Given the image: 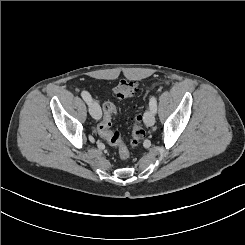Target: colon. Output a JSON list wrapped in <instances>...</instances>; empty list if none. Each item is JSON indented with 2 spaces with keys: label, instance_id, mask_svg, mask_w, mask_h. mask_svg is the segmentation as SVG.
<instances>
[{
  "label": "colon",
  "instance_id": "obj_1",
  "mask_svg": "<svg viewBox=\"0 0 245 245\" xmlns=\"http://www.w3.org/2000/svg\"><path fill=\"white\" fill-rule=\"evenodd\" d=\"M137 92V86L134 82L121 80L114 88V95L118 99H130ZM103 117L98 124V132L109 144L118 149V154L121 160H126L129 157V149L123 141L119 131H112V118L117 114L116 106L112 102H105L102 105ZM145 131L142 126V117L136 114L133 118L131 127V139L129 145L134 147L144 138Z\"/></svg>",
  "mask_w": 245,
  "mask_h": 245
}]
</instances>
